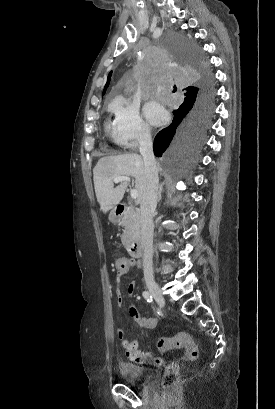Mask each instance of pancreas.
Masks as SVG:
<instances>
[{"mask_svg": "<svg viewBox=\"0 0 275 409\" xmlns=\"http://www.w3.org/2000/svg\"><path fill=\"white\" fill-rule=\"evenodd\" d=\"M119 223L125 229L121 237L122 245L128 249L134 239L140 235L139 211L135 207H127V211L122 215Z\"/></svg>", "mask_w": 275, "mask_h": 409, "instance_id": "obj_1", "label": "pancreas"}]
</instances>
